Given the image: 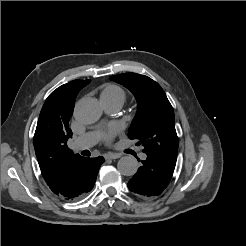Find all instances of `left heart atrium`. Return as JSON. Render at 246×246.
Returning a JSON list of instances; mask_svg holds the SVG:
<instances>
[{
  "label": "left heart atrium",
  "instance_id": "39dd6f15",
  "mask_svg": "<svg viewBox=\"0 0 246 246\" xmlns=\"http://www.w3.org/2000/svg\"><path fill=\"white\" fill-rule=\"evenodd\" d=\"M117 132V128H110L102 134V139L105 142H110L113 139V137L117 134Z\"/></svg>",
  "mask_w": 246,
  "mask_h": 246
}]
</instances>
